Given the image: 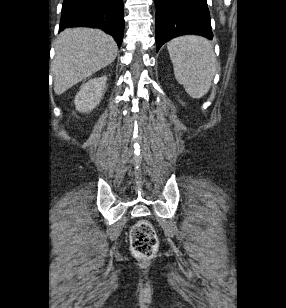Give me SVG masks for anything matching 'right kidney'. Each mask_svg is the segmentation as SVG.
Returning <instances> with one entry per match:
<instances>
[{
	"label": "right kidney",
	"instance_id": "obj_1",
	"mask_svg": "<svg viewBox=\"0 0 286 308\" xmlns=\"http://www.w3.org/2000/svg\"><path fill=\"white\" fill-rule=\"evenodd\" d=\"M106 83L107 77L102 76L83 84L74 99L76 109L79 112H90L93 110L100 103L104 95Z\"/></svg>",
	"mask_w": 286,
	"mask_h": 308
}]
</instances>
